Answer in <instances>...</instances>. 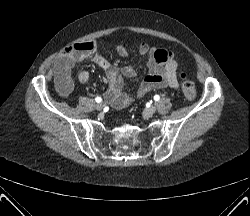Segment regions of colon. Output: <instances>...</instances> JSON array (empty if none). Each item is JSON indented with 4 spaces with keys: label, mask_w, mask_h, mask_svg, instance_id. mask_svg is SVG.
<instances>
[{
    "label": "colon",
    "mask_w": 250,
    "mask_h": 216,
    "mask_svg": "<svg viewBox=\"0 0 250 216\" xmlns=\"http://www.w3.org/2000/svg\"><path fill=\"white\" fill-rule=\"evenodd\" d=\"M180 78L182 80L181 89L184 99L186 101H192L196 97V88L193 81H191L185 73H182Z\"/></svg>",
    "instance_id": "5ec220e1"
}]
</instances>
